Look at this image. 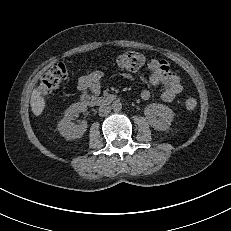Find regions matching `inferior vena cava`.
I'll return each instance as SVG.
<instances>
[{
    "instance_id": "602c4592",
    "label": "inferior vena cava",
    "mask_w": 231,
    "mask_h": 231,
    "mask_svg": "<svg viewBox=\"0 0 231 231\" xmlns=\"http://www.w3.org/2000/svg\"><path fill=\"white\" fill-rule=\"evenodd\" d=\"M110 111H111L110 106L102 105L99 108V115L102 116V117L106 116V115H108L110 113Z\"/></svg>"
}]
</instances>
